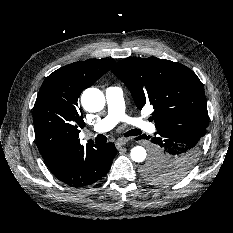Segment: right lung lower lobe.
Returning <instances> with one entry per match:
<instances>
[{"instance_id":"1","label":"right lung lower lobe","mask_w":233,"mask_h":233,"mask_svg":"<svg viewBox=\"0 0 233 233\" xmlns=\"http://www.w3.org/2000/svg\"><path fill=\"white\" fill-rule=\"evenodd\" d=\"M117 150L113 143L91 144L79 150L51 172L71 187H82L101 179L110 169Z\"/></svg>"}]
</instances>
